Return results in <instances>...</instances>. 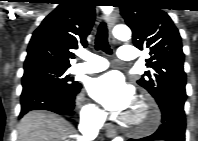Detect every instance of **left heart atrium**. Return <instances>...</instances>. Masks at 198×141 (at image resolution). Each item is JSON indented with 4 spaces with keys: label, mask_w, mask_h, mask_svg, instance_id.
Returning <instances> with one entry per match:
<instances>
[{
    "label": "left heart atrium",
    "mask_w": 198,
    "mask_h": 141,
    "mask_svg": "<svg viewBox=\"0 0 198 141\" xmlns=\"http://www.w3.org/2000/svg\"><path fill=\"white\" fill-rule=\"evenodd\" d=\"M88 91L95 100L110 111L125 112L134 104L133 90L118 72H109L93 79Z\"/></svg>",
    "instance_id": "left-heart-atrium-1"
}]
</instances>
